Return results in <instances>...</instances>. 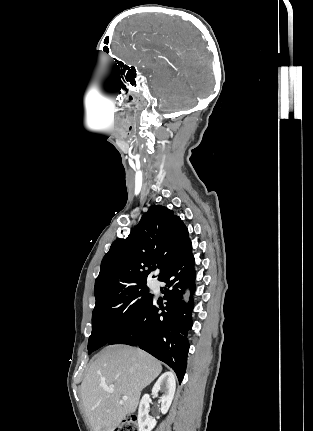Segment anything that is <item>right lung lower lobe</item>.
I'll list each match as a JSON object with an SVG mask.
<instances>
[{
    "label": "right lung lower lobe",
    "instance_id": "98d812e1",
    "mask_svg": "<svg viewBox=\"0 0 313 431\" xmlns=\"http://www.w3.org/2000/svg\"><path fill=\"white\" fill-rule=\"evenodd\" d=\"M194 262L190 241L180 258L160 279L166 283L162 290L166 306L153 299L126 330L108 343L139 346L169 365L180 383L187 366V335L192 328Z\"/></svg>",
    "mask_w": 313,
    "mask_h": 431
}]
</instances>
